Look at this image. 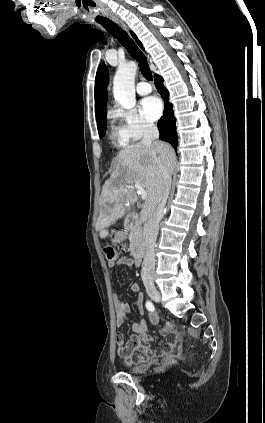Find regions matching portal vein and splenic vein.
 <instances>
[{
	"label": "portal vein and splenic vein",
	"mask_w": 265,
	"mask_h": 423,
	"mask_svg": "<svg viewBox=\"0 0 265 423\" xmlns=\"http://www.w3.org/2000/svg\"><path fill=\"white\" fill-rule=\"evenodd\" d=\"M133 187L137 190V194L141 197V199L142 200H146L147 193L144 190V188L141 187L139 184H135Z\"/></svg>",
	"instance_id": "1"
}]
</instances>
